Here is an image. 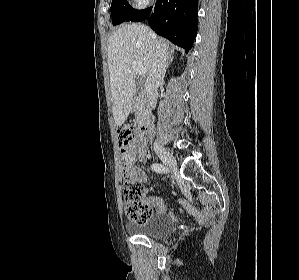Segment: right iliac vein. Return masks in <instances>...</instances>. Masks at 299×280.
<instances>
[{"label":"right iliac vein","mask_w":299,"mask_h":280,"mask_svg":"<svg viewBox=\"0 0 299 280\" xmlns=\"http://www.w3.org/2000/svg\"><path fill=\"white\" fill-rule=\"evenodd\" d=\"M157 155L165 165L169 166L171 169H176V160L169 151L160 148L157 150Z\"/></svg>","instance_id":"1"}]
</instances>
